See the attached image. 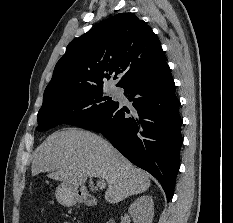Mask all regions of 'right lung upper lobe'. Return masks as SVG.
<instances>
[{"instance_id": "1", "label": "right lung upper lobe", "mask_w": 233, "mask_h": 223, "mask_svg": "<svg viewBox=\"0 0 233 223\" xmlns=\"http://www.w3.org/2000/svg\"><path fill=\"white\" fill-rule=\"evenodd\" d=\"M166 63L160 41L143 20L120 13L70 42L44 92L43 105L94 88L115 72L116 86Z\"/></svg>"}]
</instances>
